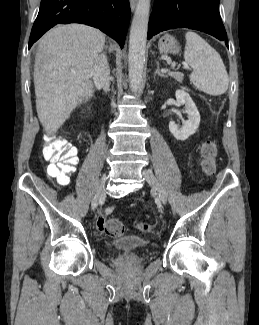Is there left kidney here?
<instances>
[{
    "instance_id": "obj_1",
    "label": "left kidney",
    "mask_w": 259,
    "mask_h": 325,
    "mask_svg": "<svg viewBox=\"0 0 259 325\" xmlns=\"http://www.w3.org/2000/svg\"><path fill=\"white\" fill-rule=\"evenodd\" d=\"M175 96L176 105L185 106L183 112L188 115V120L184 121L181 129L178 128L174 121H170L169 130L177 140L184 141L196 132L200 124V114L192 98L186 91L176 90Z\"/></svg>"
}]
</instances>
